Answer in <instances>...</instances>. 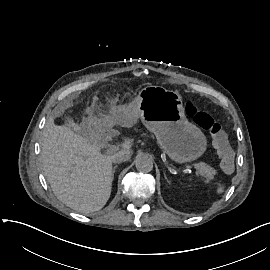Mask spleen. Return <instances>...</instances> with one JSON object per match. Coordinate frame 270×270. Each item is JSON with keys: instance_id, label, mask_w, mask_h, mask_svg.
<instances>
[{"instance_id": "spleen-1", "label": "spleen", "mask_w": 270, "mask_h": 270, "mask_svg": "<svg viewBox=\"0 0 270 270\" xmlns=\"http://www.w3.org/2000/svg\"><path fill=\"white\" fill-rule=\"evenodd\" d=\"M224 192H225V186L222 184H217V187L215 189V194L222 195V194H224Z\"/></svg>"}]
</instances>
